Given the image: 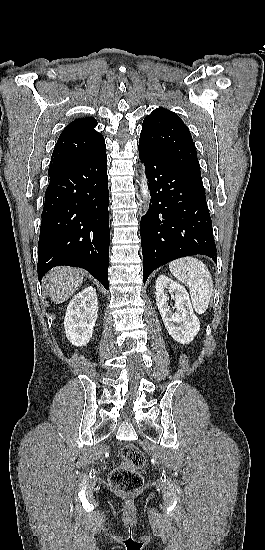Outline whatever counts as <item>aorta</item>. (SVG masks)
<instances>
[{
	"label": "aorta",
	"instance_id": "762f6f07",
	"mask_svg": "<svg viewBox=\"0 0 265 550\" xmlns=\"http://www.w3.org/2000/svg\"><path fill=\"white\" fill-rule=\"evenodd\" d=\"M141 192H142V195L145 199L150 198V193H149V190H148L147 180H146L145 176L142 177V179H141Z\"/></svg>",
	"mask_w": 265,
	"mask_h": 550
}]
</instances>
